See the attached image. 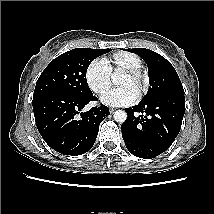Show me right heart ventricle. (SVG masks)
Returning <instances> with one entry per match:
<instances>
[{
	"label": "right heart ventricle",
	"mask_w": 214,
	"mask_h": 214,
	"mask_svg": "<svg viewBox=\"0 0 214 214\" xmlns=\"http://www.w3.org/2000/svg\"><path fill=\"white\" fill-rule=\"evenodd\" d=\"M104 62L111 73L137 69L142 66L141 58L138 55L127 51L116 52L111 56V58L104 59Z\"/></svg>",
	"instance_id": "1"
}]
</instances>
